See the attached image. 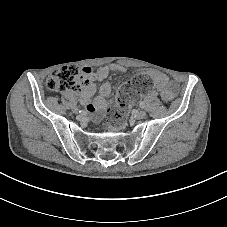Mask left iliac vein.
<instances>
[{"label": "left iliac vein", "mask_w": 227, "mask_h": 227, "mask_svg": "<svg viewBox=\"0 0 227 227\" xmlns=\"http://www.w3.org/2000/svg\"><path fill=\"white\" fill-rule=\"evenodd\" d=\"M134 117L138 120L144 119L146 117V111L139 110L134 114Z\"/></svg>", "instance_id": "4c4485c4"}]
</instances>
